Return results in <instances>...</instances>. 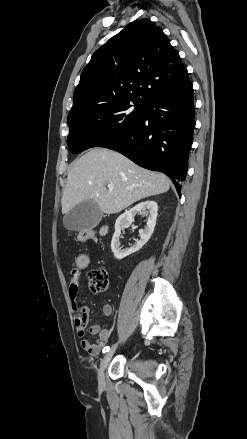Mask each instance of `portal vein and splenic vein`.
I'll use <instances>...</instances> for the list:
<instances>
[{"instance_id":"1","label":"portal vein and splenic vein","mask_w":247,"mask_h":439,"mask_svg":"<svg viewBox=\"0 0 247 439\" xmlns=\"http://www.w3.org/2000/svg\"><path fill=\"white\" fill-rule=\"evenodd\" d=\"M108 189L111 191L113 190L114 186L112 184H107Z\"/></svg>"}]
</instances>
